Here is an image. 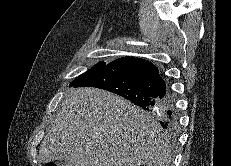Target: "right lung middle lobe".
<instances>
[{"label":"right lung middle lobe","instance_id":"right-lung-middle-lobe-1","mask_svg":"<svg viewBox=\"0 0 231 166\" xmlns=\"http://www.w3.org/2000/svg\"><path fill=\"white\" fill-rule=\"evenodd\" d=\"M107 63L106 62H99L97 63L94 67H92L90 70L86 71L85 73H83L82 75H80L79 77H77L71 84L70 86H75L77 83H79L80 81H82L83 79L87 78L88 76L98 72L99 70H101L104 66H106Z\"/></svg>","mask_w":231,"mask_h":166}]
</instances>
